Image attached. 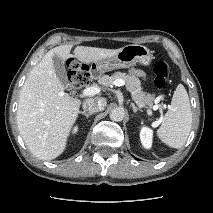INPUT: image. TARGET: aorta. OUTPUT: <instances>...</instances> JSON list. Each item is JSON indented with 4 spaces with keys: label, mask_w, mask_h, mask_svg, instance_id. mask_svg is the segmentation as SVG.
Returning a JSON list of instances; mask_svg holds the SVG:
<instances>
[{
    "label": "aorta",
    "mask_w": 213,
    "mask_h": 213,
    "mask_svg": "<svg viewBox=\"0 0 213 213\" xmlns=\"http://www.w3.org/2000/svg\"><path fill=\"white\" fill-rule=\"evenodd\" d=\"M110 119L112 121H115V122H120L124 119L125 117V111L123 108L121 107H116L114 109L111 110L110 112Z\"/></svg>",
    "instance_id": "aorta-1"
}]
</instances>
